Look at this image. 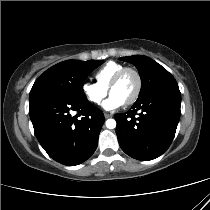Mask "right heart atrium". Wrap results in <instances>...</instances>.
<instances>
[{
  "label": "right heart atrium",
  "instance_id": "right-heart-atrium-1",
  "mask_svg": "<svg viewBox=\"0 0 210 210\" xmlns=\"http://www.w3.org/2000/svg\"><path fill=\"white\" fill-rule=\"evenodd\" d=\"M81 92L85 99L93 105L100 104L107 95V89L100 87L97 83L89 81L82 83Z\"/></svg>",
  "mask_w": 210,
  "mask_h": 210
}]
</instances>
